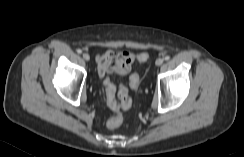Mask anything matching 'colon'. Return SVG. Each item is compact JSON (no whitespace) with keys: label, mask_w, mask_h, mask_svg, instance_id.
I'll list each match as a JSON object with an SVG mask.
<instances>
[{"label":"colon","mask_w":244,"mask_h":157,"mask_svg":"<svg viewBox=\"0 0 244 157\" xmlns=\"http://www.w3.org/2000/svg\"><path fill=\"white\" fill-rule=\"evenodd\" d=\"M149 59V54L147 52L140 53L137 56L138 62H146ZM130 84L133 88H136L139 84V75L133 74L130 77ZM104 87L107 97L108 105L113 110H118L120 108H128L131 104V99L128 93V89L125 85L121 84L118 87V98H116V86L109 77L104 80ZM123 122V117L121 114H116L107 121V127L110 129L118 128Z\"/></svg>","instance_id":"obj_1"}]
</instances>
